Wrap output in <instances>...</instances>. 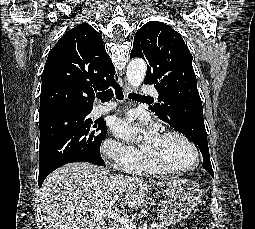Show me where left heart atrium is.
<instances>
[{
  "label": "left heart atrium",
  "instance_id": "obj_1",
  "mask_svg": "<svg viewBox=\"0 0 255 229\" xmlns=\"http://www.w3.org/2000/svg\"><path fill=\"white\" fill-rule=\"evenodd\" d=\"M112 131L115 136L125 141H140L143 148L150 146L159 136L156 127L149 120L137 119L135 113L114 119Z\"/></svg>",
  "mask_w": 255,
  "mask_h": 229
}]
</instances>
